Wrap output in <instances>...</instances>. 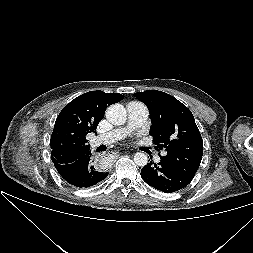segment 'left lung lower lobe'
I'll use <instances>...</instances> for the list:
<instances>
[{
  "instance_id": "obj_1",
  "label": "left lung lower lobe",
  "mask_w": 253,
  "mask_h": 253,
  "mask_svg": "<svg viewBox=\"0 0 253 253\" xmlns=\"http://www.w3.org/2000/svg\"><path fill=\"white\" fill-rule=\"evenodd\" d=\"M141 177L148 185L165 193L178 191L191 182L162 160L158 164L150 162L144 166Z\"/></svg>"
}]
</instances>
